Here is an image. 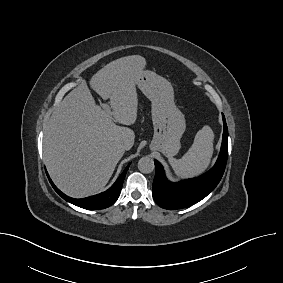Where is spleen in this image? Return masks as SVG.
Returning <instances> with one entry per match:
<instances>
[{"label":"spleen","mask_w":283,"mask_h":283,"mask_svg":"<svg viewBox=\"0 0 283 283\" xmlns=\"http://www.w3.org/2000/svg\"><path fill=\"white\" fill-rule=\"evenodd\" d=\"M214 133L208 125L199 130L193 144L181 159L169 158L174 173L179 178H191L202 174L213 155Z\"/></svg>","instance_id":"3e777b00"}]
</instances>
